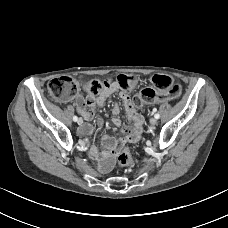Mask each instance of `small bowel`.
<instances>
[{"label": "small bowel", "instance_id": "1", "mask_svg": "<svg viewBox=\"0 0 228 228\" xmlns=\"http://www.w3.org/2000/svg\"><path fill=\"white\" fill-rule=\"evenodd\" d=\"M115 92L119 94L124 103L126 114L130 121V127L127 129L125 137L113 138L111 136L102 135V146L105 150V156L102 164L105 169H109L113 165L115 156L127 142L135 143L140 141L143 132V118L134 109L130 96L117 84H113L97 97L87 96L86 98H80L76 103L77 110L85 120V123L81 127L80 131L83 134H89L92 132V125L90 122L93 118L94 108L103 106L107 97ZM112 113L114 115H118L120 113V106L118 103H114ZM113 124L119 127L121 125L120 119L115 117L113 119ZM98 125L99 129H102L104 121L101 118H98Z\"/></svg>", "mask_w": 228, "mask_h": 228}]
</instances>
